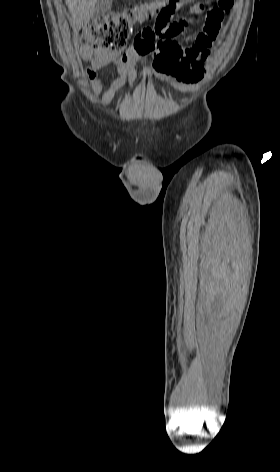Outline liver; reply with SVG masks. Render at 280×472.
<instances>
[{
	"mask_svg": "<svg viewBox=\"0 0 280 472\" xmlns=\"http://www.w3.org/2000/svg\"><path fill=\"white\" fill-rule=\"evenodd\" d=\"M65 3L71 14V24L75 29H80L94 15L96 0H65Z\"/></svg>",
	"mask_w": 280,
	"mask_h": 472,
	"instance_id": "6515ba94",
	"label": "liver"
}]
</instances>
